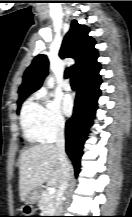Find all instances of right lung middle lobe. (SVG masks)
Here are the masks:
<instances>
[{"instance_id":"1","label":"right lung middle lobe","mask_w":132,"mask_h":217,"mask_svg":"<svg viewBox=\"0 0 132 217\" xmlns=\"http://www.w3.org/2000/svg\"><path fill=\"white\" fill-rule=\"evenodd\" d=\"M25 98L18 100V106L20 107Z\"/></svg>"}]
</instances>
